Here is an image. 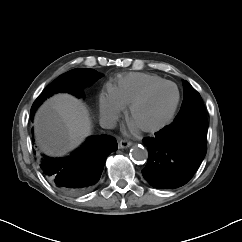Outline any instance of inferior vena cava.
I'll list each match as a JSON object with an SVG mask.
<instances>
[{
  "instance_id": "obj_1",
  "label": "inferior vena cava",
  "mask_w": 242,
  "mask_h": 242,
  "mask_svg": "<svg viewBox=\"0 0 242 242\" xmlns=\"http://www.w3.org/2000/svg\"><path fill=\"white\" fill-rule=\"evenodd\" d=\"M100 125L103 128L112 129L115 128L116 121L111 117H103L100 119Z\"/></svg>"
}]
</instances>
